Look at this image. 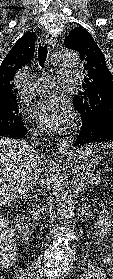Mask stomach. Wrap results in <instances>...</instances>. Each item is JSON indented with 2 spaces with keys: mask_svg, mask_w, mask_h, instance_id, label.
<instances>
[{
  "mask_svg": "<svg viewBox=\"0 0 113 279\" xmlns=\"http://www.w3.org/2000/svg\"><path fill=\"white\" fill-rule=\"evenodd\" d=\"M67 160L72 168L90 171L98 166L101 157L94 144H86L70 153Z\"/></svg>",
  "mask_w": 113,
  "mask_h": 279,
  "instance_id": "stomach-1",
  "label": "stomach"
}]
</instances>
